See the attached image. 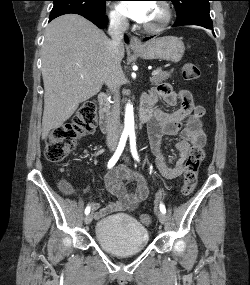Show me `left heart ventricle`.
I'll use <instances>...</instances> for the list:
<instances>
[{
    "instance_id": "left-heart-ventricle-1",
    "label": "left heart ventricle",
    "mask_w": 250,
    "mask_h": 285,
    "mask_svg": "<svg viewBox=\"0 0 250 285\" xmlns=\"http://www.w3.org/2000/svg\"><path fill=\"white\" fill-rule=\"evenodd\" d=\"M162 10L157 4H154L150 12L148 20L145 22L146 25H157L162 20Z\"/></svg>"
}]
</instances>
